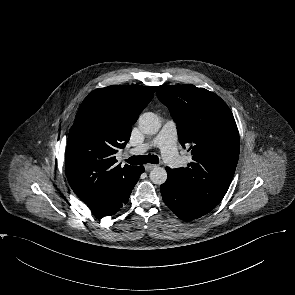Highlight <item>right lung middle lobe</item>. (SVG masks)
I'll return each mask as SVG.
<instances>
[{"mask_svg":"<svg viewBox=\"0 0 295 295\" xmlns=\"http://www.w3.org/2000/svg\"><path fill=\"white\" fill-rule=\"evenodd\" d=\"M93 112L96 114H101L103 112L102 106L97 101L93 103Z\"/></svg>","mask_w":295,"mask_h":295,"instance_id":"obj_1","label":"right lung middle lobe"}]
</instances>
